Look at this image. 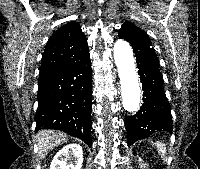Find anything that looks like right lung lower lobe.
Segmentation results:
<instances>
[{
  "mask_svg": "<svg viewBox=\"0 0 200 169\" xmlns=\"http://www.w3.org/2000/svg\"><path fill=\"white\" fill-rule=\"evenodd\" d=\"M36 131L58 129L91 146L92 72L89 51L71 65L39 75Z\"/></svg>",
  "mask_w": 200,
  "mask_h": 169,
  "instance_id": "1",
  "label": "right lung lower lobe"
}]
</instances>
